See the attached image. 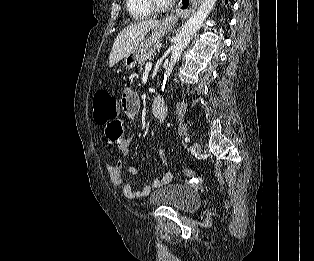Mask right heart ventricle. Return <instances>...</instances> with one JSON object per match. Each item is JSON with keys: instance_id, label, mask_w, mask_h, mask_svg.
<instances>
[{"instance_id": "right-heart-ventricle-1", "label": "right heart ventricle", "mask_w": 314, "mask_h": 261, "mask_svg": "<svg viewBox=\"0 0 314 261\" xmlns=\"http://www.w3.org/2000/svg\"><path fill=\"white\" fill-rule=\"evenodd\" d=\"M126 7L129 14L135 19L149 18L154 14V10L147 0H126Z\"/></svg>"}]
</instances>
